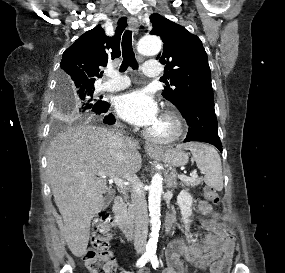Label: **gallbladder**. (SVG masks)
<instances>
[{"label":"gallbladder","mask_w":285,"mask_h":273,"mask_svg":"<svg viewBox=\"0 0 285 273\" xmlns=\"http://www.w3.org/2000/svg\"><path fill=\"white\" fill-rule=\"evenodd\" d=\"M113 198V193L109 192L105 197H104V206L107 207L109 203L111 202Z\"/></svg>","instance_id":"1"}]
</instances>
